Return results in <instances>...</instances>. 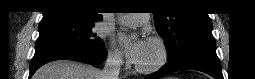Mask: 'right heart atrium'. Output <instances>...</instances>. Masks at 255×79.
I'll return each mask as SVG.
<instances>
[{
    "label": "right heart atrium",
    "instance_id": "d8ad5b80",
    "mask_svg": "<svg viewBox=\"0 0 255 79\" xmlns=\"http://www.w3.org/2000/svg\"><path fill=\"white\" fill-rule=\"evenodd\" d=\"M108 58L109 61L115 65H121L123 63V58L120 51L114 46H111V48L109 49Z\"/></svg>",
    "mask_w": 255,
    "mask_h": 79
}]
</instances>
